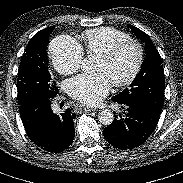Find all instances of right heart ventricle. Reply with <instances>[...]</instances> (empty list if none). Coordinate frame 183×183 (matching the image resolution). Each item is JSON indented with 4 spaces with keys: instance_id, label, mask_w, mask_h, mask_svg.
<instances>
[{
    "instance_id": "obj_1",
    "label": "right heart ventricle",
    "mask_w": 183,
    "mask_h": 183,
    "mask_svg": "<svg viewBox=\"0 0 183 183\" xmlns=\"http://www.w3.org/2000/svg\"><path fill=\"white\" fill-rule=\"evenodd\" d=\"M129 35L111 27L87 30L82 36V49L89 55H98L119 41L129 39Z\"/></svg>"
}]
</instances>
